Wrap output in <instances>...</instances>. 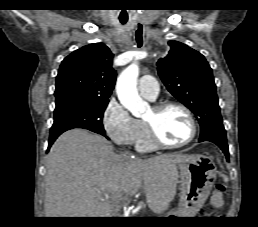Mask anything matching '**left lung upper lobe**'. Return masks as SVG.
Masks as SVG:
<instances>
[{"instance_id":"5c2ea615","label":"left lung upper lobe","mask_w":258,"mask_h":227,"mask_svg":"<svg viewBox=\"0 0 258 227\" xmlns=\"http://www.w3.org/2000/svg\"><path fill=\"white\" fill-rule=\"evenodd\" d=\"M169 54L158 63V74L168 91L197 115L199 141L226 140L216 85L208 62L187 45L169 41Z\"/></svg>"}]
</instances>
